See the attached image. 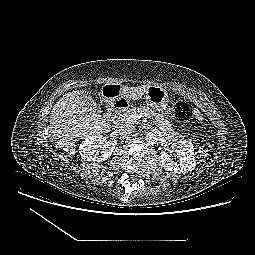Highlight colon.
I'll use <instances>...</instances> for the list:
<instances>
[{
	"mask_svg": "<svg viewBox=\"0 0 255 255\" xmlns=\"http://www.w3.org/2000/svg\"><path fill=\"white\" fill-rule=\"evenodd\" d=\"M173 114L174 116L181 120V121H186L189 118H192L194 114L193 108L190 106L189 103L187 102H176L173 106Z\"/></svg>",
	"mask_w": 255,
	"mask_h": 255,
	"instance_id": "colon-1",
	"label": "colon"
}]
</instances>
